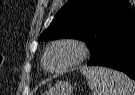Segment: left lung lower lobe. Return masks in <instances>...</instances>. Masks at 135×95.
<instances>
[{
    "label": "left lung lower lobe",
    "instance_id": "obj_1",
    "mask_svg": "<svg viewBox=\"0 0 135 95\" xmlns=\"http://www.w3.org/2000/svg\"><path fill=\"white\" fill-rule=\"evenodd\" d=\"M89 66H105L135 80V22L104 38Z\"/></svg>",
    "mask_w": 135,
    "mask_h": 95
}]
</instances>
